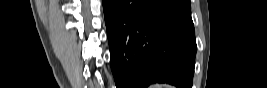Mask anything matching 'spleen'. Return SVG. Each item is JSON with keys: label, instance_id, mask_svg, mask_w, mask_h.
<instances>
[{"label": "spleen", "instance_id": "spleen-1", "mask_svg": "<svg viewBox=\"0 0 267 88\" xmlns=\"http://www.w3.org/2000/svg\"><path fill=\"white\" fill-rule=\"evenodd\" d=\"M151 88H163V85L156 84L152 85Z\"/></svg>", "mask_w": 267, "mask_h": 88}]
</instances>
